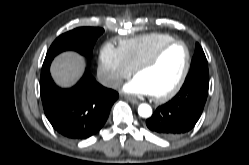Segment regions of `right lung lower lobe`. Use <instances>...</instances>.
Instances as JSON below:
<instances>
[{"mask_svg":"<svg viewBox=\"0 0 249 165\" xmlns=\"http://www.w3.org/2000/svg\"><path fill=\"white\" fill-rule=\"evenodd\" d=\"M53 58L44 60L40 93L45 115L53 128L65 137L86 139L105 124L118 93L100 85L87 68L81 80L70 89L56 86L49 67Z\"/></svg>","mask_w":249,"mask_h":165,"instance_id":"obj_1","label":"right lung lower lobe"}]
</instances>
